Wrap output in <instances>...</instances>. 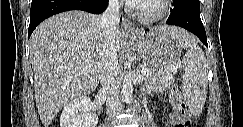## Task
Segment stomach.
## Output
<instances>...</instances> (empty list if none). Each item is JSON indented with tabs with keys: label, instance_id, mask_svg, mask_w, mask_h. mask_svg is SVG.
I'll list each match as a JSON object with an SVG mask.
<instances>
[{
	"label": "stomach",
	"instance_id": "obj_1",
	"mask_svg": "<svg viewBox=\"0 0 243 127\" xmlns=\"http://www.w3.org/2000/svg\"><path fill=\"white\" fill-rule=\"evenodd\" d=\"M129 38L143 60L154 68L170 69L180 60L181 46L164 26L140 31Z\"/></svg>",
	"mask_w": 243,
	"mask_h": 127
}]
</instances>
